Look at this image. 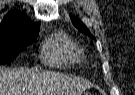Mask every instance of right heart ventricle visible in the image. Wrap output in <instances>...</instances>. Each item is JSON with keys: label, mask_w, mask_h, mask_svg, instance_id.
Segmentation results:
<instances>
[{"label": "right heart ventricle", "mask_w": 135, "mask_h": 95, "mask_svg": "<svg viewBox=\"0 0 135 95\" xmlns=\"http://www.w3.org/2000/svg\"><path fill=\"white\" fill-rule=\"evenodd\" d=\"M41 57L49 65H74L83 60V51L67 34L59 32L44 42Z\"/></svg>", "instance_id": "e07e8e85"}]
</instances>
